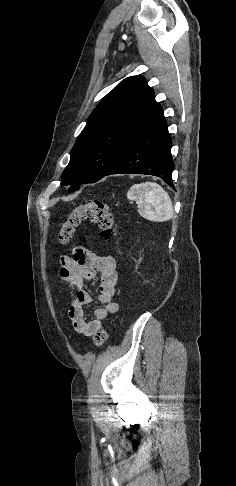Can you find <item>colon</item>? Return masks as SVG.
Returning a JSON list of instances; mask_svg holds the SVG:
<instances>
[{
  "label": "colon",
  "mask_w": 236,
  "mask_h": 486,
  "mask_svg": "<svg viewBox=\"0 0 236 486\" xmlns=\"http://www.w3.org/2000/svg\"><path fill=\"white\" fill-rule=\"evenodd\" d=\"M86 221L97 225L105 240H111L116 234L115 215L111 208L100 200L89 199L74 206L62 221L58 232L59 242L61 244L70 243L76 229ZM106 339L107 331L104 328L93 334V343L96 347L102 346Z\"/></svg>",
  "instance_id": "obj_1"
}]
</instances>
